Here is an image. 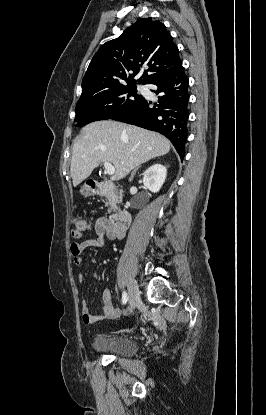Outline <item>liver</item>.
<instances>
[{"label": "liver", "instance_id": "obj_1", "mask_svg": "<svg viewBox=\"0 0 266 415\" xmlns=\"http://www.w3.org/2000/svg\"><path fill=\"white\" fill-rule=\"evenodd\" d=\"M170 147L168 139L153 131L111 120L90 123L74 141L70 167L73 186L105 161L115 168L111 179H123L142 163L167 154Z\"/></svg>", "mask_w": 266, "mask_h": 415}]
</instances>
